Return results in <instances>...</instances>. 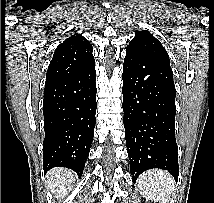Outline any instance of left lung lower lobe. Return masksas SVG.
<instances>
[{
    "mask_svg": "<svg viewBox=\"0 0 214 203\" xmlns=\"http://www.w3.org/2000/svg\"><path fill=\"white\" fill-rule=\"evenodd\" d=\"M125 139L132 181L160 168L178 180L175 85L169 65L126 51L123 64Z\"/></svg>",
    "mask_w": 214,
    "mask_h": 203,
    "instance_id": "1",
    "label": "left lung lower lobe"
}]
</instances>
